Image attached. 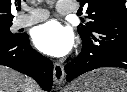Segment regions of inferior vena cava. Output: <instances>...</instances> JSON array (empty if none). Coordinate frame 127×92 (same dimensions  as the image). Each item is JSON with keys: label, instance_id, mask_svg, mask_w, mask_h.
Here are the masks:
<instances>
[{"label": "inferior vena cava", "instance_id": "obj_1", "mask_svg": "<svg viewBox=\"0 0 127 92\" xmlns=\"http://www.w3.org/2000/svg\"><path fill=\"white\" fill-rule=\"evenodd\" d=\"M34 86H35V82L29 78L27 87H26V92H33Z\"/></svg>", "mask_w": 127, "mask_h": 92}]
</instances>
